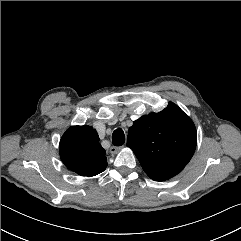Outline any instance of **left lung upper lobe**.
<instances>
[{
    "label": "left lung upper lobe",
    "instance_id": "obj_1",
    "mask_svg": "<svg viewBox=\"0 0 241 241\" xmlns=\"http://www.w3.org/2000/svg\"><path fill=\"white\" fill-rule=\"evenodd\" d=\"M196 143L194 123L172 102L161 112L134 121L127 139V146L155 181L167 180L180 173L192 158Z\"/></svg>",
    "mask_w": 241,
    "mask_h": 241
}]
</instances>
